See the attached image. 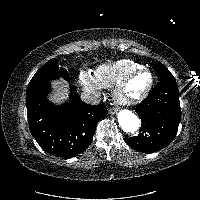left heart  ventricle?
Masks as SVG:
<instances>
[{
	"mask_svg": "<svg viewBox=\"0 0 200 200\" xmlns=\"http://www.w3.org/2000/svg\"><path fill=\"white\" fill-rule=\"evenodd\" d=\"M149 83V75L145 72L137 74L127 84L124 94L129 98L137 97L146 89Z\"/></svg>",
	"mask_w": 200,
	"mask_h": 200,
	"instance_id": "left-heart-ventricle-1",
	"label": "left heart ventricle"
}]
</instances>
